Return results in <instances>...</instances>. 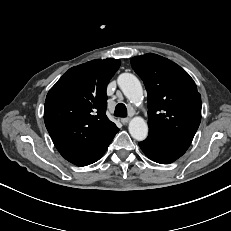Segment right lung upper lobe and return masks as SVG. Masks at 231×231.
Masks as SVG:
<instances>
[{
  "mask_svg": "<svg viewBox=\"0 0 231 231\" xmlns=\"http://www.w3.org/2000/svg\"><path fill=\"white\" fill-rule=\"evenodd\" d=\"M119 67L112 58L72 67L47 94L46 128L60 154L77 166L99 160L119 131L105 114L107 84Z\"/></svg>",
  "mask_w": 231,
  "mask_h": 231,
  "instance_id": "cb5924a9",
  "label": "right lung upper lobe"
}]
</instances>
